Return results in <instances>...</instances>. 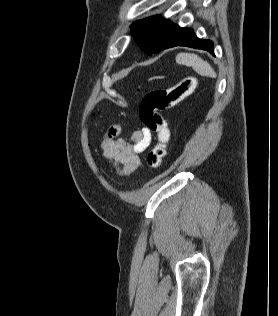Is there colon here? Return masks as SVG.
<instances>
[{
  "label": "colon",
  "instance_id": "1",
  "mask_svg": "<svg viewBox=\"0 0 278 316\" xmlns=\"http://www.w3.org/2000/svg\"><path fill=\"white\" fill-rule=\"evenodd\" d=\"M197 86L193 75L184 77L177 84L145 94L139 106V117L142 123L156 135V143L147 156L151 168H159L167 155L169 130L162 111L170 109L189 96Z\"/></svg>",
  "mask_w": 278,
  "mask_h": 316
}]
</instances>
